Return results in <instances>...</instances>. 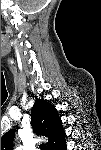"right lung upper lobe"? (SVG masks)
Wrapping results in <instances>:
<instances>
[{"label":"right lung upper lobe","mask_w":101,"mask_h":150,"mask_svg":"<svg viewBox=\"0 0 101 150\" xmlns=\"http://www.w3.org/2000/svg\"><path fill=\"white\" fill-rule=\"evenodd\" d=\"M31 123L36 134L48 138L49 150H58L65 142V131L56 109L43 99H37L31 111ZM15 130L11 129L1 138V150H12Z\"/></svg>","instance_id":"obj_1"}]
</instances>
